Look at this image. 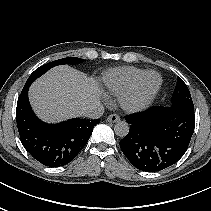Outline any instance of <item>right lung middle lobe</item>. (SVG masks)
Here are the masks:
<instances>
[{"label":"right lung middle lobe","mask_w":211,"mask_h":211,"mask_svg":"<svg viewBox=\"0 0 211 211\" xmlns=\"http://www.w3.org/2000/svg\"><path fill=\"white\" fill-rule=\"evenodd\" d=\"M82 60L80 58H75V57H68V58H63L59 59L50 63H47L39 68H37L28 78V80L25 83L24 87H29L38 77L43 75L46 71H48L50 68L61 65V64H78Z\"/></svg>","instance_id":"right-lung-middle-lobe-1"}]
</instances>
